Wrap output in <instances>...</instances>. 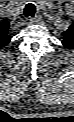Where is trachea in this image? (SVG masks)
<instances>
[{
    "mask_svg": "<svg viewBox=\"0 0 74 122\" xmlns=\"http://www.w3.org/2000/svg\"><path fill=\"white\" fill-rule=\"evenodd\" d=\"M35 12H36V7L33 3L26 4L24 8L25 17H34Z\"/></svg>",
    "mask_w": 74,
    "mask_h": 122,
    "instance_id": "trachea-1",
    "label": "trachea"
}]
</instances>
